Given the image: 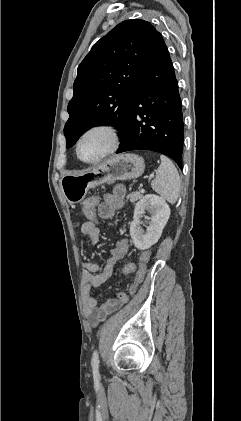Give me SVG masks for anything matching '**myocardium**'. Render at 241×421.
Listing matches in <instances>:
<instances>
[{"label": "myocardium", "instance_id": "obj_1", "mask_svg": "<svg viewBox=\"0 0 241 421\" xmlns=\"http://www.w3.org/2000/svg\"><path fill=\"white\" fill-rule=\"evenodd\" d=\"M93 132H104L105 134H107V136L109 137V146L107 147V149L98 157L94 158V159H84L81 157L80 155V144L82 142V140L90 133ZM120 132L119 129L113 125L110 124H96L93 126L88 127L86 130H84L81 135L79 136V138L76 141V145H75V152H76V156L77 158L87 164H96L99 163L100 161H102L103 159H105L106 157H108L109 155L113 154L120 145Z\"/></svg>", "mask_w": 241, "mask_h": 421}]
</instances>
